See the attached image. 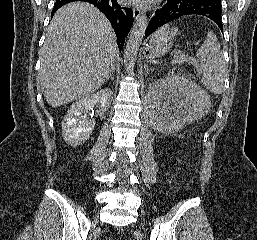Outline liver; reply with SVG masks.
Returning a JSON list of instances; mask_svg holds the SVG:
<instances>
[{
	"mask_svg": "<svg viewBox=\"0 0 257 240\" xmlns=\"http://www.w3.org/2000/svg\"><path fill=\"white\" fill-rule=\"evenodd\" d=\"M117 57L116 36L103 13L85 2L61 7L41 50L38 75L47 103L59 107L96 91Z\"/></svg>",
	"mask_w": 257,
	"mask_h": 240,
	"instance_id": "6515ba94",
	"label": "liver"
}]
</instances>
